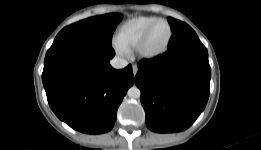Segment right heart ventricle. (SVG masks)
Wrapping results in <instances>:
<instances>
[{
  "instance_id": "e07e8e85",
  "label": "right heart ventricle",
  "mask_w": 261,
  "mask_h": 150,
  "mask_svg": "<svg viewBox=\"0 0 261 150\" xmlns=\"http://www.w3.org/2000/svg\"><path fill=\"white\" fill-rule=\"evenodd\" d=\"M157 19L155 16H138L125 21L117 30L116 44L125 51L135 48L145 29Z\"/></svg>"
}]
</instances>
